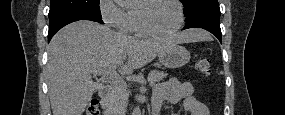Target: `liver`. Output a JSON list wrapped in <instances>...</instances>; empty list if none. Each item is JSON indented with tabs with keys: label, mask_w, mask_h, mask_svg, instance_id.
<instances>
[{
	"label": "liver",
	"mask_w": 285,
	"mask_h": 115,
	"mask_svg": "<svg viewBox=\"0 0 285 115\" xmlns=\"http://www.w3.org/2000/svg\"><path fill=\"white\" fill-rule=\"evenodd\" d=\"M206 38L207 34L198 29L170 38L139 39L88 20L65 26L47 48L46 73L53 115H82L99 88L92 81V74H98L96 70L119 68L120 73L130 74L173 44Z\"/></svg>",
	"instance_id": "obj_1"
}]
</instances>
